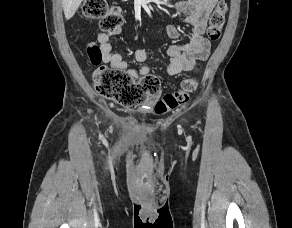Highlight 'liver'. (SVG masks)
Returning a JSON list of instances; mask_svg holds the SVG:
<instances>
[{"label": "liver", "mask_w": 292, "mask_h": 228, "mask_svg": "<svg viewBox=\"0 0 292 228\" xmlns=\"http://www.w3.org/2000/svg\"><path fill=\"white\" fill-rule=\"evenodd\" d=\"M83 0H62L65 18L69 20L77 11Z\"/></svg>", "instance_id": "obj_1"}]
</instances>
